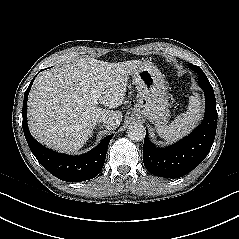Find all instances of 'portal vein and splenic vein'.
Wrapping results in <instances>:
<instances>
[{"instance_id":"obj_1","label":"portal vein and splenic vein","mask_w":239,"mask_h":239,"mask_svg":"<svg viewBox=\"0 0 239 239\" xmlns=\"http://www.w3.org/2000/svg\"><path fill=\"white\" fill-rule=\"evenodd\" d=\"M92 97H93V100H92L93 104L94 105L97 104V99H96L97 97L95 95H93Z\"/></svg>"}]
</instances>
